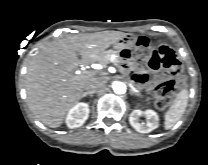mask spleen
Returning a JSON list of instances; mask_svg holds the SVG:
<instances>
[{
    "label": "spleen",
    "instance_id": "1",
    "mask_svg": "<svg viewBox=\"0 0 208 165\" xmlns=\"http://www.w3.org/2000/svg\"><path fill=\"white\" fill-rule=\"evenodd\" d=\"M188 90L183 89L177 95L170 107V109L164 115V128L166 130L171 129L184 114L188 104Z\"/></svg>",
    "mask_w": 208,
    "mask_h": 165
}]
</instances>
